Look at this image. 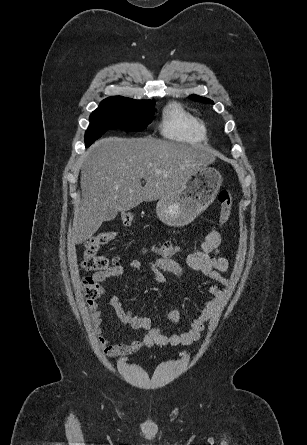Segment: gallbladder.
I'll return each instance as SVG.
<instances>
[{
	"label": "gallbladder",
	"instance_id": "gallbladder-1",
	"mask_svg": "<svg viewBox=\"0 0 307 445\" xmlns=\"http://www.w3.org/2000/svg\"><path fill=\"white\" fill-rule=\"evenodd\" d=\"M107 213L105 214V219L107 222H112L113 218L117 216V213L113 211V208L111 206H108L106 208Z\"/></svg>",
	"mask_w": 307,
	"mask_h": 445
}]
</instances>
